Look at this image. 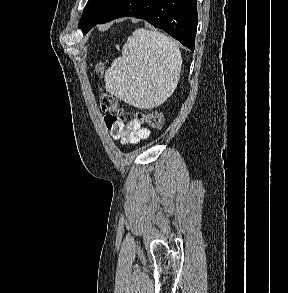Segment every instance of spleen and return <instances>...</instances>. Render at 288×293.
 Returning <instances> with one entry per match:
<instances>
[{
  "label": "spleen",
  "mask_w": 288,
  "mask_h": 293,
  "mask_svg": "<svg viewBox=\"0 0 288 293\" xmlns=\"http://www.w3.org/2000/svg\"><path fill=\"white\" fill-rule=\"evenodd\" d=\"M182 57L165 34L135 30L105 73L106 91L139 108L161 105L176 89Z\"/></svg>",
  "instance_id": "1"
}]
</instances>
